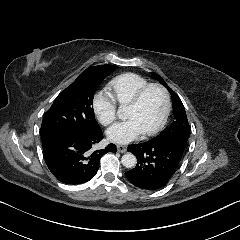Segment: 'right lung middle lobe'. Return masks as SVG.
I'll use <instances>...</instances> for the list:
<instances>
[{
	"label": "right lung middle lobe",
	"instance_id": "dd1d6c3e",
	"mask_svg": "<svg viewBox=\"0 0 240 240\" xmlns=\"http://www.w3.org/2000/svg\"><path fill=\"white\" fill-rule=\"evenodd\" d=\"M117 66H92L56 98L41 125V139L73 132L101 131L92 107L93 97L102 80Z\"/></svg>",
	"mask_w": 240,
	"mask_h": 240
}]
</instances>
